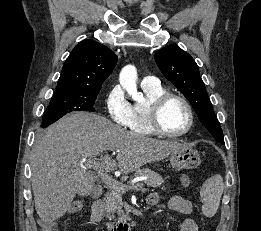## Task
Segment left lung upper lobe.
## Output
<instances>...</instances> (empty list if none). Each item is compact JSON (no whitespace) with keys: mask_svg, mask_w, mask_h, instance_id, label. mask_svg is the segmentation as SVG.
<instances>
[{"mask_svg":"<svg viewBox=\"0 0 261 231\" xmlns=\"http://www.w3.org/2000/svg\"><path fill=\"white\" fill-rule=\"evenodd\" d=\"M155 61L165 77L189 100L202 124L219 143L224 144L220 123L191 55L172 44L157 51Z\"/></svg>","mask_w":261,"mask_h":231,"instance_id":"5c2ea615","label":"left lung upper lobe"}]
</instances>
